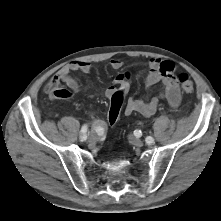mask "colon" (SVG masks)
Masks as SVG:
<instances>
[{"label": "colon", "mask_w": 221, "mask_h": 221, "mask_svg": "<svg viewBox=\"0 0 221 221\" xmlns=\"http://www.w3.org/2000/svg\"><path fill=\"white\" fill-rule=\"evenodd\" d=\"M181 88L184 93L191 94L194 91V84L191 78L186 73H180L178 76ZM46 93L52 99H67L71 97V92L60 87L56 79L50 80L45 87ZM126 92L123 88L115 90L110 97V108L108 111V123L114 126L118 121L121 107L125 99Z\"/></svg>", "instance_id": "obj_1"}]
</instances>
